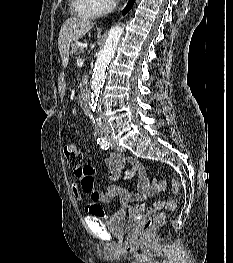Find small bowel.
<instances>
[{"mask_svg": "<svg viewBox=\"0 0 233 263\" xmlns=\"http://www.w3.org/2000/svg\"><path fill=\"white\" fill-rule=\"evenodd\" d=\"M126 162L130 164V168L125 172V176L127 178H136L137 180L136 188L132 191L117 184H111L105 192L100 191L95 186L94 168L90 165L83 166V168L89 170L88 173H75L76 177L81 180L82 191L91 200V203L86 207V211L91 215L101 219H109V215L100 204L109 203L115 197L119 198L120 202L124 205V209L131 211L155 212L165 206V201H153L148 206L141 203L151 198L155 190L147 176L145 167L140 161L134 158H126L119 153L110 154L104 162L109 179L112 181L118 180L121 177V172ZM73 194L78 200H81V190L77 185L73 186ZM134 202H138V204L131 206Z\"/></svg>", "mask_w": 233, "mask_h": 263, "instance_id": "c3829d8e", "label": "small bowel"}]
</instances>
